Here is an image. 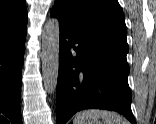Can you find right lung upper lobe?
Here are the masks:
<instances>
[{
	"mask_svg": "<svg viewBox=\"0 0 156 124\" xmlns=\"http://www.w3.org/2000/svg\"><path fill=\"white\" fill-rule=\"evenodd\" d=\"M26 25L25 0H0V31L22 30Z\"/></svg>",
	"mask_w": 156,
	"mask_h": 124,
	"instance_id": "1",
	"label": "right lung upper lobe"
}]
</instances>
